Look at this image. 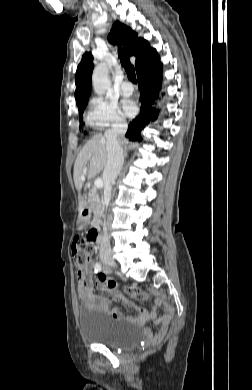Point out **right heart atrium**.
<instances>
[{
  "mask_svg": "<svg viewBox=\"0 0 252 390\" xmlns=\"http://www.w3.org/2000/svg\"><path fill=\"white\" fill-rule=\"evenodd\" d=\"M89 124L96 130L123 128L126 121L114 102L103 98H92L87 113Z\"/></svg>",
  "mask_w": 252,
  "mask_h": 390,
  "instance_id": "obj_1",
  "label": "right heart atrium"
}]
</instances>
